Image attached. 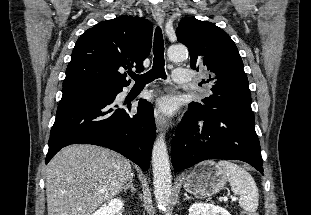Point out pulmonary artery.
I'll return each instance as SVG.
<instances>
[{"instance_id":"pulmonary-artery-1","label":"pulmonary artery","mask_w":311,"mask_h":215,"mask_svg":"<svg viewBox=\"0 0 311 215\" xmlns=\"http://www.w3.org/2000/svg\"><path fill=\"white\" fill-rule=\"evenodd\" d=\"M173 79L176 83H187L192 80V76L189 70L183 68H176L173 71Z\"/></svg>"}]
</instances>
